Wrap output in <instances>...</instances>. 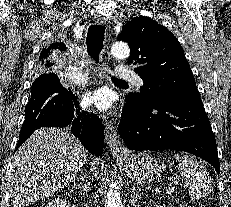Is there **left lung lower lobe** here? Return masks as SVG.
I'll use <instances>...</instances> for the list:
<instances>
[{
    "mask_svg": "<svg viewBox=\"0 0 231 207\" xmlns=\"http://www.w3.org/2000/svg\"><path fill=\"white\" fill-rule=\"evenodd\" d=\"M119 134L128 149L186 151L219 174L217 145L200 97L145 106L126 100Z\"/></svg>",
    "mask_w": 231,
    "mask_h": 207,
    "instance_id": "obj_1",
    "label": "left lung lower lobe"
}]
</instances>
